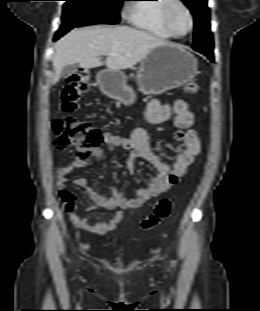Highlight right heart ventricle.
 Wrapping results in <instances>:
<instances>
[{
	"instance_id": "obj_1",
	"label": "right heart ventricle",
	"mask_w": 260,
	"mask_h": 311,
	"mask_svg": "<svg viewBox=\"0 0 260 311\" xmlns=\"http://www.w3.org/2000/svg\"><path fill=\"white\" fill-rule=\"evenodd\" d=\"M138 2L131 6L129 20L139 29H142L156 37L168 39L172 35L165 28L161 19L162 6L165 0H136Z\"/></svg>"
}]
</instances>
